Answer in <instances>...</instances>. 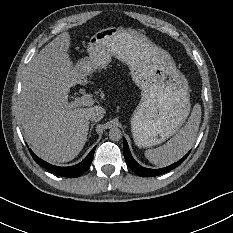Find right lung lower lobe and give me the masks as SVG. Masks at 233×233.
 Returning <instances> with one entry per match:
<instances>
[{
	"mask_svg": "<svg viewBox=\"0 0 233 233\" xmlns=\"http://www.w3.org/2000/svg\"><path fill=\"white\" fill-rule=\"evenodd\" d=\"M95 148L96 147H94L90 151V153L81 163L74 165V166H70V167H58V166L51 165L43 161L39 157H37L30 149L29 151L33 159L35 160V162L41 165L42 167H44L45 169H47L48 171L56 175H59V176L74 178V177H78L81 174H83L90 167L92 159H93V155L95 152Z\"/></svg>",
	"mask_w": 233,
	"mask_h": 233,
	"instance_id": "1",
	"label": "right lung lower lobe"
}]
</instances>
